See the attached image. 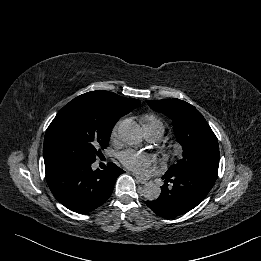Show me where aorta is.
I'll list each match as a JSON object with an SVG mask.
<instances>
[{"mask_svg":"<svg viewBox=\"0 0 261 261\" xmlns=\"http://www.w3.org/2000/svg\"><path fill=\"white\" fill-rule=\"evenodd\" d=\"M119 134L122 141L130 146H140L143 141L140 126L130 120H127L121 124ZM160 193V187L153 182L146 183L142 190L143 196L147 200L151 201L156 200L159 197Z\"/></svg>","mask_w":261,"mask_h":261,"instance_id":"762f6f07","label":"aorta"}]
</instances>
